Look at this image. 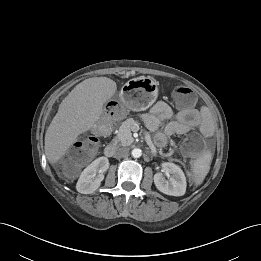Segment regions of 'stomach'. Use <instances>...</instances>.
<instances>
[{
	"label": "stomach",
	"mask_w": 261,
	"mask_h": 261,
	"mask_svg": "<svg viewBox=\"0 0 261 261\" xmlns=\"http://www.w3.org/2000/svg\"><path fill=\"white\" fill-rule=\"evenodd\" d=\"M157 84L150 78L139 77L129 80L121 89L122 105L133 111H143L157 98Z\"/></svg>",
	"instance_id": "1"
}]
</instances>
